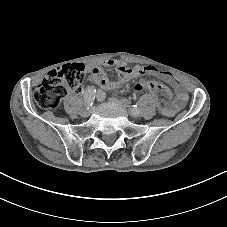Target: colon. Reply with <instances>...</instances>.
Instances as JSON below:
<instances>
[{
    "label": "colon",
    "instance_id": "obj_1",
    "mask_svg": "<svg viewBox=\"0 0 227 227\" xmlns=\"http://www.w3.org/2000/svg\"><path fill=\"white\" fill-rule=\"evenodd\" d=\"M84 77L85 68L82 64L63 65L48 73L35 89L34 99L41 108H55L69 90L77 91L81 88ZM144 88L155 95L161 109L169 106L172 94L166 86L154 81H141L135 86L136 91Z\"/></svg>",
    "mask_w": 227,
    "mask_h": 227
}]
</instances>
